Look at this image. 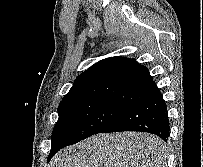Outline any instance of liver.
Segmentation results:
<instances>
[{
  "label": "liver",
  "mask_w": 203,
  "mask_h": 167,
  "mask_svg": "<svg viewBox=\"0 0 203 167\" xmlns=\"http://www.w3.org/2000/svg\"><path fill=\"white\" fill-rule=\"evenodd\" d=\"M167 146L141 132L101 133L59 151L49 167H167Z\"/></svg>",
  "instance_id": "1"
}]
</instances>
